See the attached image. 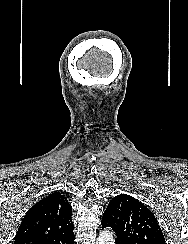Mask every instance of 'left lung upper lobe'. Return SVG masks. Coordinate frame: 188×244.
<instances>
[{
	"label": "left lung upper lobe",
	"instance_id": "5c2ea615",
	"mask_svg": "<svg viewBox=\"0 0 188 244\" xmlns=\"http://www.w3.org/2000/svg\"><path fill=\"white\" fill-rule=\"evenodd\" d=\"M102 220L115 232L116 244H165L152 212L137 199L121 194L113 197Z\"/></svg>",
	"mask_w": 188,
	"mask_h": 244
}]
</instances>
